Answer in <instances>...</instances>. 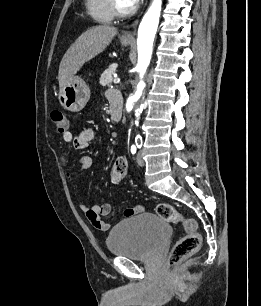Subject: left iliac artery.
I'll return each instance as SVG.
<instances>
[{"label":"left iliac artery","instance_id":"1","mask_svg":"<svg viewBox=\"0 0 261 306\" xmlns=\"http://www.w3.org/2000/svg\"><path fill=\"white\" fill-rule=\"evenodd\" d=\"M135 142H136L137 148H141V146H142V138H141V136L138 135V136L135 138ZM136 146H135V145H132V146H131V153H132V154H135V153H136Z\"/></svg>","mask_w":261,"mask_h":306}]
</instances>
